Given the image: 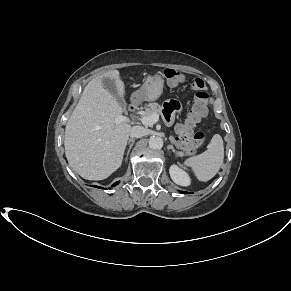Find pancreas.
I'll return each mask as SVG.
<instances>
[{"label": "pancreas", "instance_id": "pancreas-1", "mask_svg": "<svg viewBox=\"0 0 291 291\" xmlns=\"http://www.w3.org/2000/svg\"><path fill=\"white\" fill-rule=\"evenodd\" d=\"M152 113H157L158 115L161 113V106L158 104V103H156V102H154V103H149L148 104V106L145 108V111H144V113H143V117L144 116H149V115H151ZM170 140L171 141H174V138H173V136H170ZM181 155H183V153L182 152H179ZM189 155H193V154H195V151H193V152H189L188 153Z\"/></svg>", "mask_w": 291, "mask_h": 291}]
</instances>
